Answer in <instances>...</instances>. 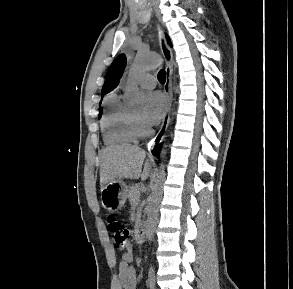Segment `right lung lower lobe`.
<instances>
[{"label":"right lung lower lobe","mask_w":293,"mask_h":289,"mask_svg":"<svg viewBox=\"0 0 293 289\" xmlns=\"http://www.w3.org/2000/svg\"><path fill=\"white\" fill-rule=\"evenodd\" d=\"M159 151H160V146L158 145V142H157V146H156V148L153 150V155L159 154Z\"/></svg>","instance_id":"98d812e1"}]
</instances>
